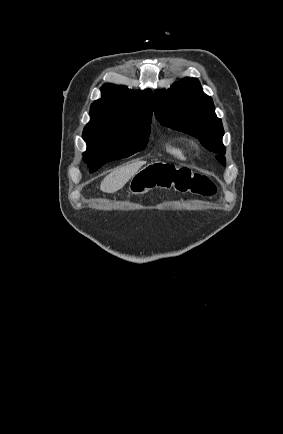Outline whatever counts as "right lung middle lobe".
<instances>
[{
    "label": "right lung middle lobe",
    "mask_w": 283,
    "mask_h": 434,
    "mask_svg": "<svg viewBox=\"0 0 283 434\" xmlns=\"http://www.w3.org/2000/svg\"><path fill=\"white\" fill-rule=\"evenodd\" d=\"M151 122L115 128H84L87 151L83 153L91 170L100 165L143 150L148 142Z\"/></svg>",
    "instance_id": "1"
}]
</instances>
